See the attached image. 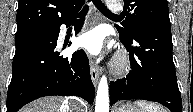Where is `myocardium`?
I'll list each match as a JSON object with an SVG mask.
<instances>
[{
	"label": "myocardium",
	"mask_w": 193,
	"mask_h": 112,
	"mask_svg": "<svg viewBox=\"0 0 193 112\" xmlns=\"http://www.w3.org/2000/svg\"><path fill=\"white\" fill-rule=\"evenodd\" d=\"M129 68V59L128 56L125 52H121L119 53L113 63H112V72L117 75H123L128 71Z\"/></svg>",
	"instance_id": "1"
}]
</instances>
